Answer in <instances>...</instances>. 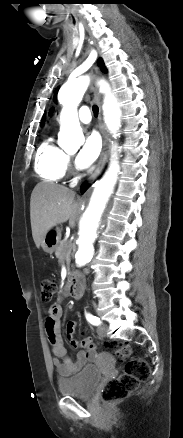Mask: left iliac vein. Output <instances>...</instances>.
I'll list each match as a JSON object with an SVG mask.
<instances>
[{
    "instance_id": "4c4485c4",
    "label": "left iliac vein",
    "mask_w": 183,
    "mask_h": 438,
    "mask_svg": "<svg viewBox=\"0 0 183 438\" xmlns=\"http://www.w3.org/2000/svg\"><path fill=\"white\" fill-rule=\"evenodd\" d=\"M97 333L99 337H105L107 333V327L105 325L98 326Z\"/></svg>"
}]
</instances>
